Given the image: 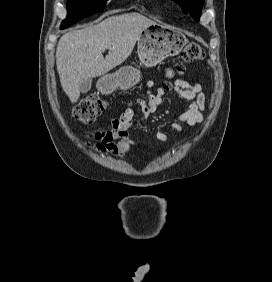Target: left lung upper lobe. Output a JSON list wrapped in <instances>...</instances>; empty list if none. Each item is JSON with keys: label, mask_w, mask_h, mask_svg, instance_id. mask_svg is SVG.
<instances>
[{"label": "left lung upper lobe", "mask_w": 272, "mask_h": 282, "mask_svg": "<svg viewBox=\"0 0 272 282\" xmlns=\"http://www.w3.org/2000/svg\"><path fill=\"white\" fill-rule=\"evenodd\" d=\"M177 2L185 13L199 21L204 0H173Z\"/></svg>", "instance_id": "1"}]
</instances>
